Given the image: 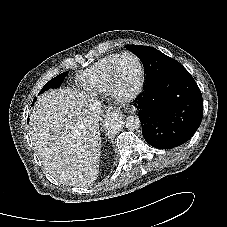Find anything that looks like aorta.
<instances>
[{
  "instance_id": "762f6f07",
  "label": "aorta",
  "mask_w": 227,
  "mask_h": 227,
  "mask_svg": "<svg viewBox=\"0 0 227 227\" xmlns=\"http://www.w3.org/2000/svg\"><path fill=\"white\" fill-rule=\"evenodd\" d=\"M125 124L126 128L131 131L138 130L141 127V122L138 116L130 115L123 122L121 114L117 112L110 113L105 121L106 128L111 132H117Z\"/></svg>"
}]
</instances>
